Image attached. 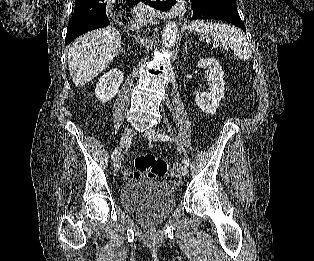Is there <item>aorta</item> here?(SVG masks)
<instances>
[{
    "label": "aorta",
    "mask_w": 314,
    "mask_h": 261,
    "mask_svg": "<svg viewBox=\"0 0 314 261\" xmlns=\"http://www.w3.org/2000/svg\"><path fill=\"white\" fill-rule=\"evenodd\" d=\"M178 36V26L175 22H169L163 29L162 44L166 48H171Z\"/></svg>",
    "instance_id": "1"
}]
</instances>
